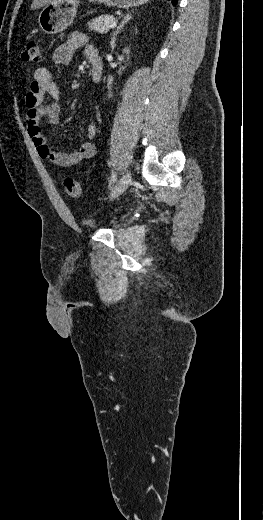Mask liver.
<instances>
[{
    "mask_svg": "<svg viewBox=\"0 0 263 520\" xmlns=\"http://www.w3.org/2000/svg\"><path fill=\"white\" fill-rule=\"evenodd\" d=\"M62 1L63 0H33L32 4H31V10L38 9V8L46 6L50 3H59Z\"/></svg>",
    "mask_w": 263,
    "mask_h": 520,
    "instance_id": "1",
    "label": "liver"
}]
</instances>
